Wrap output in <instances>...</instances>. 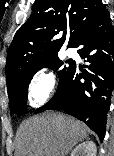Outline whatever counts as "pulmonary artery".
<instances>
[{
	"instance_id": "e3ab8cb5",
	"label": "pulmonary artery",
	"mask_w": 114,
	"mask_h": 156,
	"mask_svg": "<svg viewBox=\"0 0 114 156\" xmlns=\"http://www.w3.org/2000/svg\"><path fill=\"white\" fill-rule=\"evenodd\" d=\"M66 54H67L68 56H73L74 52H73V50L68 49V50L66 51Z\"/></svg>"
}]
</instances>
